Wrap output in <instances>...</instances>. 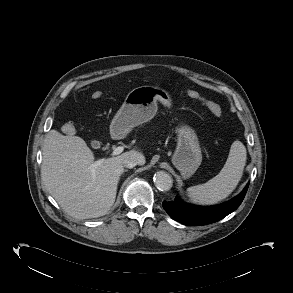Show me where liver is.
<instances>
[{"label": "liver", "instance_id": "1", "mask_svg": "<svg viewBox=\"0 0 293 293\" xmlns=\"http://www.w3.org/2000/svg\"><path fill=\"white\" fill-rule=\"evenodd\" d=\"M41 175L44 184L61 208L76 219L104 216L115 202L123 159L134 156L139 164L144 155L136 150L103 158L93 167L95 156L85 141L51 130L42 146Z\"/></svg>", "mask_w": 293, "mask_h": 293}]
</instances>
